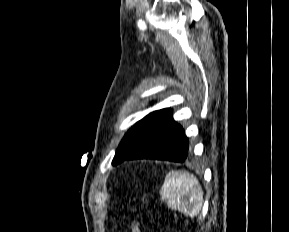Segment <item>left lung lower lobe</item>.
Returning a JSON list of instances; mask_svg holds the SVG:
<instances>
[{"label": "left lung lower lobe", "mask_w": 289, "mask_h": 232, "mask_svg": "<svg viewBox=\"0 0 289 232\" xmlns=\"http://www.w3.org/2000/svg\"><path fill=\"white\" fill-rule=\"evenodd\" d=\"M189 152V140L183 128L175 121H171L125 160L158 159L184 162Z\"/></svg>", "instance_id": "1"}]
</instances>
